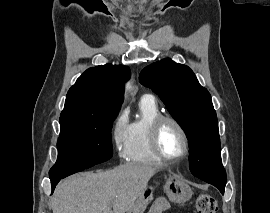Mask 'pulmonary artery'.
<instances>
[{"mask_svg": "<svg viewBox=\"0 0 270 213\" xmlns=\"http://www.w3.org/2000/svg\"><path fill=\"white\" fill-rule=\"evenodd\" d=\"M146 96L152 97V96H150V95H144L143 97H146ZM152 98H153V97H152Z\"/></svg>", "mask_w": 270, "mask_h": 213, "instance_id": "1", "label": "pulmonary artery"}]
</instances>
